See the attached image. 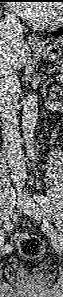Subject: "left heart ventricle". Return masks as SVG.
Instances as JSON below:
<instances>
[{
    "mask_svg": "<svg viewBox=\"0 0 63 297\" xmlns=\"http://www.w3.org/2000/svg\"><path fill=\"white\" fill-rule=\"evenodd\" d=\"M56 16V11L55 9L51 6L50 7V11H49V16L47 20H52L53 18H55Z\"/></svg>",
    "mask_w": 63,
    "mask_h": 297,
    "instance_id": "1",
    "label": "left heart ventricle"
}]
</instances>
